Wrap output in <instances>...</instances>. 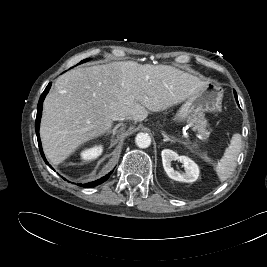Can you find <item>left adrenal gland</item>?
Returning a JSON list of instances; mask_svg holds the SVG:
<instances>
[{
  "instance_id": "1",
  "label": "left adrenal gland",
  "mask_w": 267,
  "mask_h": 267,
  "mask_svg": "<svg viewBox=\"0 0 267 267\" xmlns=\"http://www.w3.org/2000/svg\"><path fill=\"white\" fill-rule=\"evenodd\" d=\"M162 135H163V137H164V139H163L164 142H167V141H171V142H179V140H177V139L174 138V137L169 138V136H168L164 131H162Z\"/></svg>"
}]
</instances>
